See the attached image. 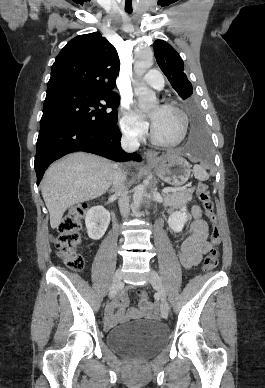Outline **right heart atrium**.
<instances>
[{"label": "right heart atrium", "mask_w": 265, "mask_h": 388, "mask_svg": "<svg viewBox=\"0 0 265 388\" xmlns=\"http://www.w3.org/2000/svg\"><path fill=\"white\" fill-rule=\"evenodd\" d=\"M123 119L122 122L126 131L134 138H143L148 131V124L143 118L132 111L130 102L124 101L121 106Z\"/></svg>", "instance_id": "1"}]
</instances>
